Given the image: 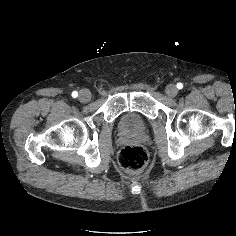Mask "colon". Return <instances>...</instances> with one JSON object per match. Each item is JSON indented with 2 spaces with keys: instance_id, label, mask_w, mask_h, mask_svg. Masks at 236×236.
I'll use <instances>...</instances> for the list:
<instances>
[{
  "instance_id": "colon-1",
  "label": "colon",
  "mask_w": 236,
  "mask_h": 236,
  "mask_svg": "<svg viewBox=\"0 0 236 236\" xmlns=\"http://www.w3.org/2000/svg\"><path fill=\"white\" fill-rule=\"evenodd\" d=\"M147 154L142 147L137 145L125 146L119 153L118 163L122 170L138 173L147 165Z\"/></svg>"
}]
</instances>
